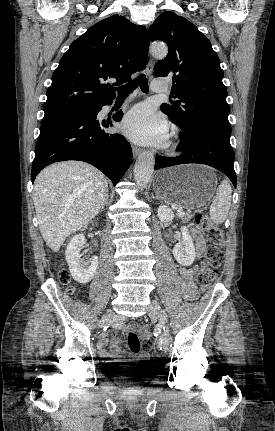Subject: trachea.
<instances>
[{
  "instance_id": "trachea-1",
  "label": "trachea",
  "mask_w": 275,
  "mask_h": 431,
  "mask_svg": "<svg viewBox=\"0 0 275 431\" xmlns=\"http://www.w3.org/2000/svg\"><path fill=\"white\" fill-rule=\"evenodd\" d=\"M140 87L142 92L148 93L149 87L145 74H140L133 81L116 88L119 97H126L132 93L137 87Z\"/></svg>"
}]
</instances>
